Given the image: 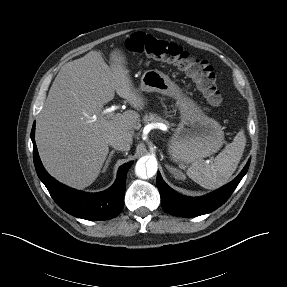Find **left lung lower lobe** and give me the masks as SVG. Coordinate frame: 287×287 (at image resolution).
Segmentation results:
<instances>
[{"label":"left lung lower lobe","mask_w":287,"mask_h":287,"mask_svg":"<svg viewBox=\"0 0 287 287\" xmlns=\"http://www.w3.org/2000/svg\"><path fill=\"white\" fill-rule=\"evenodd\" d=\"M249 164L250 159L241 173L232 182L208 195L197 198L178 194L163 181L160 173H158L156 183L161 195L163 209L167 213L179 217H196L216 210L231 196L246 174Z\"/></svg>","instance_id":"1"}]
</instances>
